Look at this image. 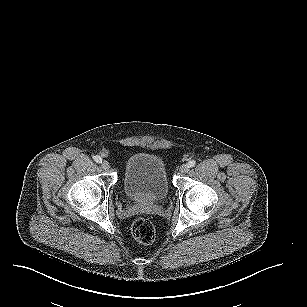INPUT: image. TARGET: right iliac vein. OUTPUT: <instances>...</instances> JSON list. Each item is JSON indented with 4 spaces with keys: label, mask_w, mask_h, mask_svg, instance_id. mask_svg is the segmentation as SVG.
Returning <instances> with one entry per match:
<instances>
[{
    "label": "right iliac vein",
    "mask_w": 307,
    "mask_h": 307,
    "mask_svg": "<svg viewBox=\"0 0 307 307\" xmlns=\"http://www.w3.org/2000/svg\"><path fill=\"white\" fill-rule=\"evenodd\" d=\"M101 166L103 169L108 170L110 168V163L107 160H103Z\"/></svg>",
    "instance_id": "right-iliac-vein-1"
}]
</instances>
